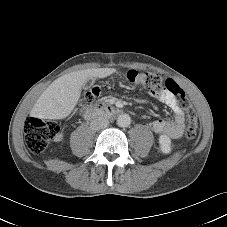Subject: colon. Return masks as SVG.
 I'll use <instances>...</instances> for the list:
<instances>
[{
    "instance_id": "obj_1",
    "label": "colon",
    "mask_w": 227,
    "mask_h": 227,
    "mask_svg": "<svg viewBox=\"0 0 227 227\" xmlns=\"http://www.w3.org/2000/svg\"><path fill=\"white\" fill-rule=\"evenodd\" d=\"M125 80L134 87L157 90L167 89L174 95L178 106L186 111L188 123L186 135L194 138L198 131V118L196 112L187 98L184 90L173 80H164L158 73L140 72L129 70L125 74ZM101 94L99 87H94L86 94V101L92 102ZM59 133V126L56 122L45 121L38 118H29L24 125L25 143L27 148L35 154L43 152L49 141Z\"/></svg>"
}]
</instances>
